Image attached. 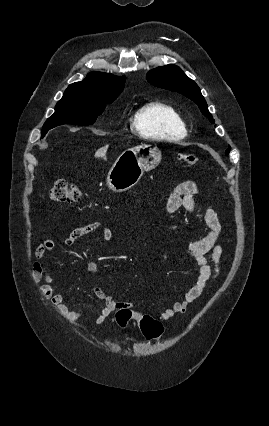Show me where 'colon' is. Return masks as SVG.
I'll use <instances>...</instances> for the list:
<instances>
[{"mask_svg":"<svg viewBox=\"0 0 269 426\" xmlns=\"http://www.w3.org/2000/svg\"><path fill=\"white\" fill-rule=\"evenodd\" d=\"M180 160L188 165L195 166L198 158L195 154L183 152L179 155ZM50 199L56 203L75 202L80 198L77 186L64 179L57 180L49 191ZM134 313L128 307L117 310L116 321L120 326H126L133 319ZM140 330L147 339H158L163 333L162 323L150 315H143L139 320Z\"/></svg>","mask_w":269,"mask_h":426,"instance_id":"obj_1","label":"colon"}]
</instances>
